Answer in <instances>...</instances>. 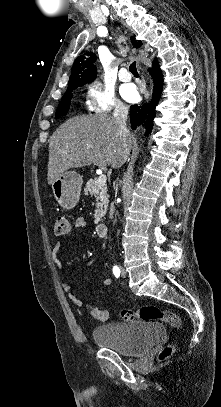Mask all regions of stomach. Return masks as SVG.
I'll return each mask as SVG.
<instances>
[{
  "label": "stomach",
  "instance_id": "0dacf381",
  "mask_svg": "<svg viewBox=\"0 0 221 407\" xmlns=\"http://www.w3.org/2000/svg\"><path fill=\"white\" fill-rule=\"evenodd\" d=\"M82 176L75 171H65L51 184L53 195L59 205L67 210L74 208L81 194Z\"/></svg>",
  "mask_w": 221,
  "mask_h": 407
}]
</instances>
